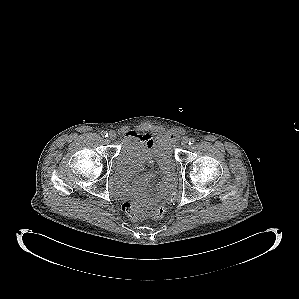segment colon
<instances>
[{
    "mask_svg": "<svg viewBox=\"0 0 299 299\" xmlns=\"http://www.w3.org/2000/svg\"><path fill=\"white\" fill-rule=\"evenodd\" d=\"M177 197V194L175 192H172L169 194V196L166 199L167 203L173 202ZM122 210L124 213L129 216L132 219H138V218H154L158 219L163 217V215L166 212L165 205H159L152 208H148L145 210H141L138 208L135 204L131 202H125L122 205Z\"/></svg>",
    "mask_w": 299,
    "mask_h": 299,
    "instance_id": "colon-1",
    "label": "colon"
}]
</instances>
